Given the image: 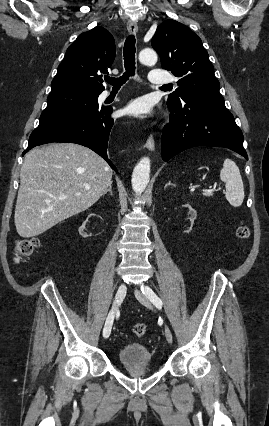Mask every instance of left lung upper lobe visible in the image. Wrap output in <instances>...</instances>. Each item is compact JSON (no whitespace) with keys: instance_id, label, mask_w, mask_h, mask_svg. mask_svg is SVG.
I'll use <instances>...</instances> for the list:
<instances>
[{"instance_id":"1","label":"left lung upper lobe","mask_w":269,"mask_h":426,"mask_svg":"<svg viewBox=\"0 0 269 426\" xmlns=\"http://www.w3.org/2000/svg\"><path fill=\"white\" fill-rule=\"evenodd\" d=\"M152 47L159 54L162 67L179 78L178 88L169 95L167 103L179 102L198 90H219V81L201 39L186 25L172 19L162 22L152 39Z\"/></svg>"}]
</instances>
